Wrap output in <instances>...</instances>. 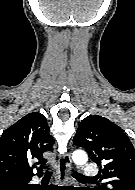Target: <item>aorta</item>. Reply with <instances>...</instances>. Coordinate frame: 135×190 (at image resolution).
Masks as SVG:
<instances>
[{
    "label": "aorta",
    "instance_id": "1",
    "mask_svg": "<svg viewBox=\"0 0 135 190\" xmlns=\"http://www.w3.org/2000/svg\"><path fill=\"white\" fill-rule=\"evenodd\" d=\"M72 159L74 161L75 164L77 165H84L87 160V154L84 151H75L72 155Z\"/></svg>",
    "mask_w": 135,
    "mask_h": 190
}]
</instances>
